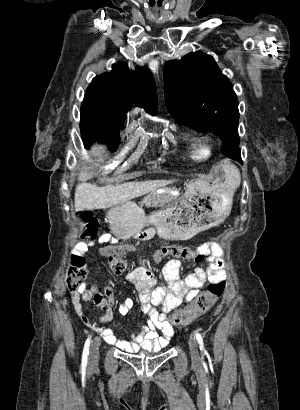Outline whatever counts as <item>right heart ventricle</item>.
I'll return each instance as SVG.
<instances>
[{
    "mask_svg": "<svg viewBox=\"0 0 300 410\" xmlns=\"http://www.w3.org/2000/svg\"><path fill=\"white\" fill-rule=\"evenodd\" d=\"M185 140L190 147L192 158L203 159L209 157L212 152L210 139L204 135L186 134Z\"/></svg>",
    "mask_w": 300,
    "mask_h": 410,
    "instance_id": "obj_1",
    "label": "right heart ventricle"
}]
</instances>
